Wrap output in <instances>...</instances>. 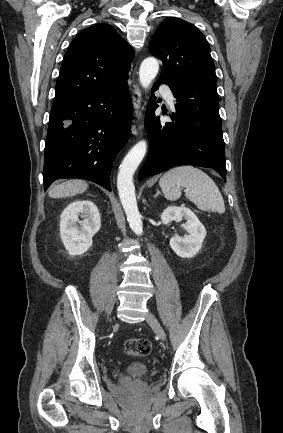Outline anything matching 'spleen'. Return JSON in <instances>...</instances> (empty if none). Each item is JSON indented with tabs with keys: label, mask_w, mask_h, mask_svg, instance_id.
<instances>
[{
	"label": "spleen",
	"mask_w": 283,
	"mask_h": 433,
	"mask_svg": "<svg viewBox=\"0 0 283 433\" xmlns=\"http://www.w3.org/2000/svg\"><path fill=\"white\" fill-rule=\"evenodd\" d=\"M159 184L167 200H177L181 196V188H188L187 198L197 204L200 210H217L219 214L225 212L223 196L214 180L200 168L194 166H176L165 172Z\"/></svg>",
	"instance_id": "3e777b00"
}]
</instances>
